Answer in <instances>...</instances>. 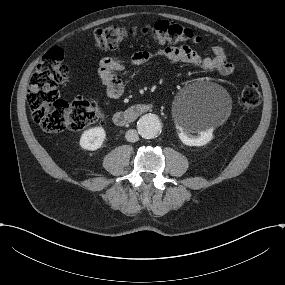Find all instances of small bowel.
I'll return each mask as SVG.
<instances>
[{"label":"small bowel","instance_id":"c3829d8e","mask_svg":"<svg viewBox=\"0 0 285 285\" xmlns=\"http://www.w3.org/2000/svg\"><path fill=\"white\" fill-rule=\"evenodd\" d=\"M155 59L187 63L222 76H228L234 70L233 64L227 59L225 49L219 45L214 46L212 55L207 57L200 56L187 45L167 46L155 52L138 51L132 55L129 65L137 67ZM124 69V61L118 57L107 56L102 58L99 63L98 74L110 98H118L124 91V84L120 75Z\"/></svg>","mask_w":285,"mask_h":285}]
</instances>
